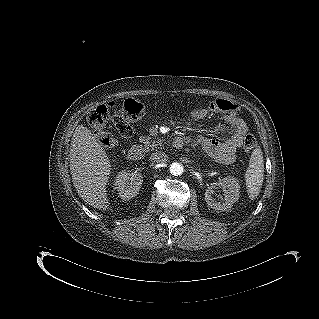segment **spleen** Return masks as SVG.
<instances>
[{
	"label": "spleen",
	"instance_id": "1",
	"mask_svg": "<svg viewBox=\"0 0 319 319\" xmlns=\"http://www.w3.org/2000/svg\"><path fill=\"white\" fill-rule=\"evenodd\" d=\"M249 198L254 200L260 193L264 180V159L260 146H255L251 152L249 166L244 174Z\"/></svg>",
	"mask_w": 319,
	"mask_h": 319
}]
</instances>
